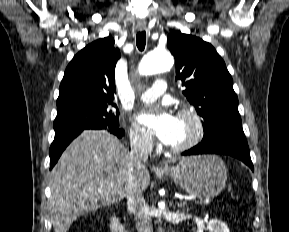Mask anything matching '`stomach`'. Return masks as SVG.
Segmentation results:
<instances>
[{"mask_svg": "<svg viewBox=\"0 0 289 232\" xmlns=\"http://www.w3.org/2000/svg\"><path fill=\"white\" fill-rule=\"evenodd\" d=\"M159 174L171 177L187 193L203 199L217 196L227 180L224 162L214 155L182 158L177 165L163 169Z\"/></svg>", "mask_w": 289, "mask_h": 232, "instance_id": "obj_1", "label": "stomach"}]
</instances>
